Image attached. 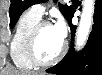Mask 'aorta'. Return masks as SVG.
Masks as SVG:
<instances>
[{
	"label": "aorta",
	"instance_id": "1",
	"mask_svg": "<svg viewBox=\"0 0 102 75\" xmlns=\"http://www.w3.org/2000/svg\"><path fill=\"white\" fill-rule=\"evenodd\" d=\"M94 0H84L80 23L76 34V47L81 49L88 39L93 22Z\"/></svg>",
	"mask_w": 102,
	"mask_h": 75
}]
</instances>
